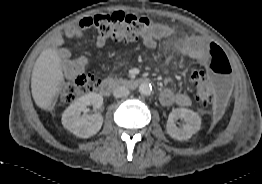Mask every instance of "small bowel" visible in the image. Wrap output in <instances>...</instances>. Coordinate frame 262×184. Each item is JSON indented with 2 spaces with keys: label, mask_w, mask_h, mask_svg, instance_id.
Listing matches in <instances>:
<instances>
[{
  "label": "small bowel",
  "mask_w": 262,
  "mask_h": 184,
  "mask_svg": "<svg viewBox=\"0 0 262 184\" xmlns=\"http://www.w3.org/2000/svg\"><path fill=\"white\" fill-rule=\"evenodd\" d=\"M79 25L67 28L64 36L67 38H80L82 30ZM174 30L165 24H156L145 35L142 36V43L146 48L155 49L158 41L172 37ZM107 42V38L98 34L94 41V46L103 47ZM209 44L199 37H184L178 40V52L188 58L198 61L204 66L211 67L212 60L208 56ZM59 55L62 59L63 71L66 77L72 78L84 72L89 66L90 61L86 57L70 58V51L66 48L59 49ZM160 102L165 106L177 104L181 107H189L193 104L191 96L185 92H174L172 89H163L159 96Z\"/></svg>",
  "instance_id": "c3829d8e"
}]
</instances>
